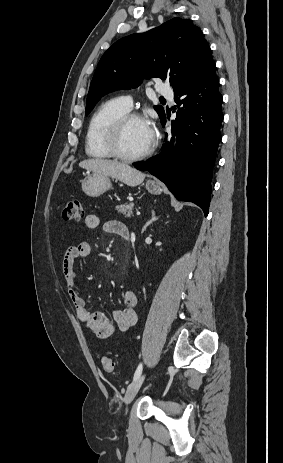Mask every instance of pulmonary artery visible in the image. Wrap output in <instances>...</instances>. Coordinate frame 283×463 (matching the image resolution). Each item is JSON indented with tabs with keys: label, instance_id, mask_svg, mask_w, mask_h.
<instances>
[{
	"label": "pulmonary artery",
	"instance_id": "obj_1",
	"mask_svg": "<svg viewBox=\"0 0 283 463\" xmlns=\"http://www.w3.org/2000/svg\"><path fill=\"white\" fill-rule=\"evenodd\" d=\"M157 91H158V94L162 97V98H167L169 100H173L174 98V92L171 88L169 87H166L164 85H160L157 87ZM122 100V103L123 105L127 108V109H131L132 106H133V99L132 97L130 96H123L121 98Z\"/></svg>",
	"mask_w": 283,
	"mask_h": 463
}]
</instances>
